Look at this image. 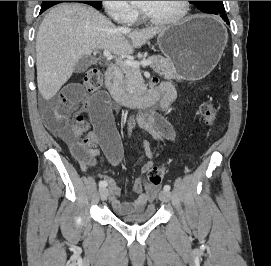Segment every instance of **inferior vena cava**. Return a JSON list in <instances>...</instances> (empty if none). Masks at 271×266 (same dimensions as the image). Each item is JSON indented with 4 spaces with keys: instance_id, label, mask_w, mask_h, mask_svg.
Returning <instances> with one entry per match:
<instances>
[{
    "instance_id": "inferior-vena-cava-1",
    "label": "inferior vena cava",
    "mask_w": 271,
    "mask_h": 266,
    "mask_svg": "<svg viewBox=\"0 0 271 266\" xmlns=\"http://www.w3.org/2000/svg\"><path fill=\"white\" fill-rule=\"evenodd\" d=\"M121 29H122V30H128V28H127V27H121Z\"/></svg>"
}]
</instances>
